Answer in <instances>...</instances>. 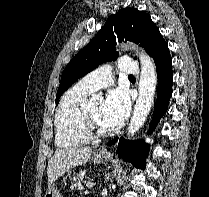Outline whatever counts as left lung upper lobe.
Here are the masks:
<instances>
[{"label": "left lung upper lobe", "instance_id": "left-lung-upper-lobe-1", "mask_svg": "<svg viewBox=\"0 0 209 197\" xmlns=\"http://www.w3.org/2000/svg\"><path fill=\"white\" fill-rule=\"evenodd\" d=\"M123 40L140 43L150 56L164 42L159 29L149 14L134 8H124L111 15L94 39L65 67L56 94V104L60 96L80 77L89 73L106 61L115 60L117 42Z\"/></svg>", "mask_w": 209, "mask_h": 197}]
</instances>
